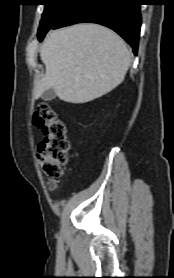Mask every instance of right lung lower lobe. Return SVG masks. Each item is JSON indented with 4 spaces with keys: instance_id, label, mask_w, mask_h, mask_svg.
<instances>
[{
    "instance_id": "right-lung-lower-lobe-1",
    "label": "right lung lower lobe",
    "mask_w": 174,
    "mask_h": 278,
    "mask_svg": "<svg viewBox=\"0 0 174 278\" xmlns=\"http://www.w3.org/2000/svg\"><path fill=\"white\" fill-rule=\"evenodd\" d=\"M141 0H75L50 29L80 22H94L113 29L136 55L141 27ZM38 34L42 40L47 33Z\"/></svg>"
}]
</instances>
